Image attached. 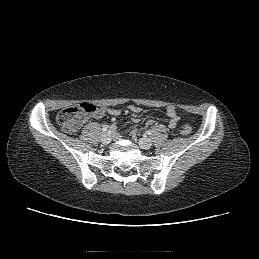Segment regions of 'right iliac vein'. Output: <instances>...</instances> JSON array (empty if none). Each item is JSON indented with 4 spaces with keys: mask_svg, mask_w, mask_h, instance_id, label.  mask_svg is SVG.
Listing matches in <instances>:
<instances>
[{
    "mask_svg": "<svg viewBox=\"0 0 259 259\" xmlns=\"http://www.w3.org/2000/svg\"><path fill=\"white\" fill-rule=\"evenodd\" d=\"M101 141L103 144L107 145L111 142V137L108 133H103L101 135Z\"/></svg>",
    "mask_w": 259,
    "mask_h": 259,
    "instance_id": "obj_1",
    "label": "right iliac vein"
}]
</instances>
